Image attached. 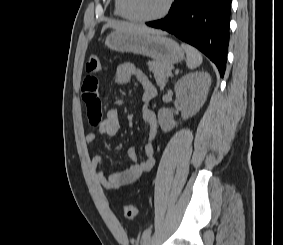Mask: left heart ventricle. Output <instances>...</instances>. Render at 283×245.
<instances>
[{
    "instance_id": "b2bd125f",
    "label": "left heart ventricle",
    "mask_w": 283,
    "mask_h": 245,
    "mask_svg": "<svg viewBox=\"0 0 283 245\" xmlns=\"http://www.w3.org/2000/svg\"><path fill=\"white\" fill-rule=\"evenodd\" d=\"M167 0H130L132 12L141 17H151L162 11Z\"/></svg>"
}]
</instances>
